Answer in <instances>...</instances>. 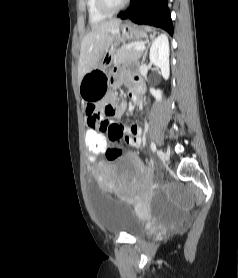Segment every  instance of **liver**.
I'll list each match as a JSON object with an SVG mask.
<instances>
[{
  "mask_svg": "<svg viewBox=\"0 0 238 278\" xmlns=\"http://www.w3.org/2000/svg\"><path fill=\"white\" fill-rule=\"evenodd\" d=\"M120 19H111L92 27V30L83 38L78 63V83L83 76L97 68L103 55L110 49L118 33Z\"/></svg>",
  "mask_w": 238,
  "mask_h": 278,
  "instance_id": "obj_1",
  "label": "liver"
}]
</instances>
